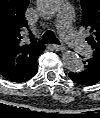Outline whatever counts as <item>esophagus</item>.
Returning a JSON list of instances; mask_svg holds the SVG:
<instances>
[{
	"label": "esophagus",
	"mask_w": 100,
	"mask_h": 118,
	"mask_svg": "<svg viewBox=\"0 0 100 118\" xmlns=\"http://www.w3.org/2000/svg\"><path fill=\"white\" fill-rule=\"evenodd\" d=\"M50 46H51L54 50H56V51H62V50L65 49V47L62 46V45L51 44Z\"/></svg>",
	"instance_id": "obj_1"
}]
</instances>
